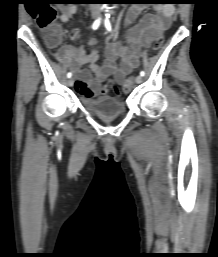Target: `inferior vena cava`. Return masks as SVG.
Here are the masks:
<instances>
[{
	"instance_id": "602c4592",
	"label": "inferior vena cava",
	"mask_w": 218,
	"mask_h": 257,
	"mask_svg": "<svg viewBox=\"0 0 218 257\" xmlns=\"http://www.w3.org/2000/svg\"><path fill=\"white\" fill-rule=\"evenodd\" d=\"M100 4H91V9H94V10H96V11H99V9H100Z\"/></svg>"
}]
</instances>
